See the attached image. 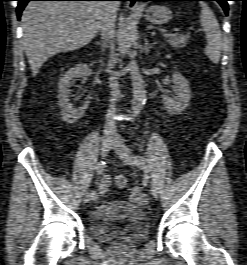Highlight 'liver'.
I'll return each mask as SVG.
<instances>
[{"instance_id": "obj_1", "label": "liver", "mask_w": 247, "mask_h": 265, "mask_svg": "<svg viewBox=\"0 0 247 265\" xmlns=\"http://www.w3.org/2000/svg\"><path fill=\"white\" fill-rule=\"evenodd\" d=\"M102 11V2H29L21 23L32 75L36 77L51 56L87 45L98 33ZM115 21L116 12L112 18V32Z\"/></svg>"}]
</instances>
